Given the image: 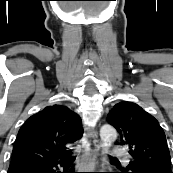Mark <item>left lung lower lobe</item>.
I'll list each match as a JSON object with an SVG mask.
<instances>
[{
    "instance_id": "obj_1",
    "label": "left lung lower lobe",
    "mask_w": 173,
    "mask_h": 173,
    "mask_svg": "<svg viewBox=\"0 0 173 173\" xmlns=\"http://www.w3.org/2000/svg\"><path fill=\"white\" fill-rule=\"evenodd\" d=\"M121 173H140V172H138V171H129V172H121Z\"/></svg>"
}]
</instances>
